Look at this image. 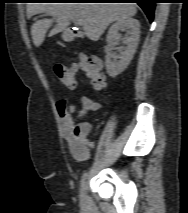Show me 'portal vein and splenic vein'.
I'll return each mask as SVG.
<instances>
[{"label":"portal vein and splenic vein","mask_w":188,"mask_h":213,"mask_svg":"<svg viewBox=\"0 0 188 213\" xmlns=\"http://www.w3.org/2000/svg\"><path fill=\"white\" fill-rule=\"evenodd\" d=\"M75 22L78 24V25H82L83 24V20L78 18L75 20Z\"/></svg>","instance_id":"1"}]
</instances>
